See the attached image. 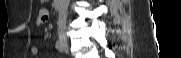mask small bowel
<instances>
[{
    "label": "small bowel",
    "mask_w": 181,
    "mask_h": 58,
    "mask_svg": "<svg viewBox=\"0 0 181 58\" xmlns=\"http://www.w3.org/2000/svg\"><path fill=\"white\" fill-rule=\"evenodd\" d=\"M47 19H48V11L46 9H41L39 11L38 20H37L38 25L45 22ZM31 53L33 56H36L38 54V48L33 47L31 49Z\"/></svg>",
    "instance_id": "c3829d8e"
}]
</instances>
